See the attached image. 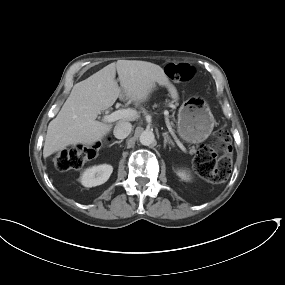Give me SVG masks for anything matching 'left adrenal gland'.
<instances>
[{
    "label": "left adrenal gland",
    "instance_id": "left-adrenal-gland-1",
    "mask_svg": "<svg viewBox=\"0 0 285 285\" xmlns=\"http://www.w3.org/2000/svg\"><path fill=\"white\" fill-rule=\"evenodd\" d=\"M162 135L164 137V148L166 147L167 144L174 146V142L168 137L166 133H163Z\"/></svg>",
    "mask_w": 285,
    "mask_h": 285
}]
</instances>
